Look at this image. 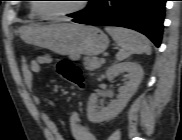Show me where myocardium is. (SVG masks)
<instances>
[{
    "mask_svg": "<svg viewBox=\"0 0 182 140\" xmlns=\"http://www.w3.org/2000/svg\"><path fill=\"white\" fill-rule=\"evenodd\" d=\"M85 7H86L85 3L82 2L77 7L73 8L71 10L65 11V12L54 13V14H44L39 10L38 5L34 4L33 5V11L36 13V15L38 17H40L42 19L52 20V19H59V18L73 15L75 13L82 11Z\"/></svg>",
    "mask_w": 182,
    "mask_h": 140,
    "instance_id": "1",
    "label": "myocardium"
}]
</instances>
